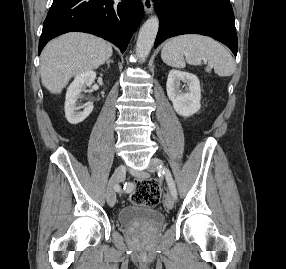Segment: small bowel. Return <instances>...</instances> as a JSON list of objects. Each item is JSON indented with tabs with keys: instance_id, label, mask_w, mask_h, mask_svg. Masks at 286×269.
<instances>
[{
	"instance_id": "obj_1",
	"label": "small bowel",
	"mask_w": 286,
	"mask_h": 269,
	"mask_svg": "<svg viewBox=\"0 0 286 269\" xmlns=\"http://www.w3.org/2000/svg\"><path fill=\"white\" fill-rule=\"evenodd\" d=\"M131 190H132V185H129V187L125 191L130 192Z\"/></svg>"
}]
</instances>
